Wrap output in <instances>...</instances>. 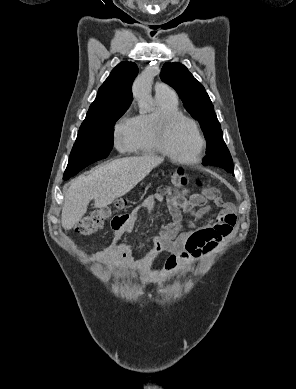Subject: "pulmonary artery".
Listing matches in <instances>:
<instances>
[{
  "instance_id": "obj_1",
  "label": "pulmonary artery",
  "mask_w": 296,
  "mask_h": 389,
  "mask_svg": "<svg viewBox=\"0 0 296 389\" xmlns=\"http://www.w3.org/2000/svg\"><path fill=\"white\" fill-rule=\"evenodd\" d=\"M155 92H156V94H165V95L176 96L173 89L165 83H157L155 85Z\"/></svg>"
}]
</instances>
